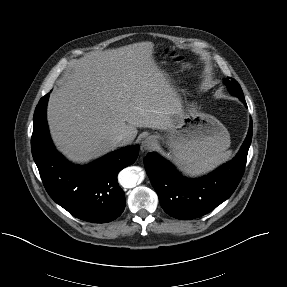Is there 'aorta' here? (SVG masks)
Returning a JSON list of instances; mask_svg holds the SVG:
<instances>
[{
	"instance_id": "1",
	"label": "aorta",
	"mask_w": 287,
	"mask_h": 287,
	"mask_svg": "<svg viewBox=\"0 0 287 287\" xmlns=\"http://www.w3.org/2000/svg\"><path fill=\"white\" fill-rule=\"evenodd\" d=\"M139 181L140 174L133 167L126 168L119 174V182L125 188H133Z\"/></svg>"
}]
</instances>
